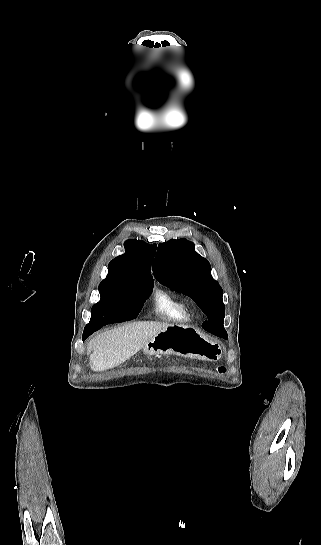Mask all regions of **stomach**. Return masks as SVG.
<instances>
[{"label": "stomach", "instance_id": "1", "mask_svg": "<svg viewBox=\"0 0 321 545\" xmlns=\"http://www.w3.org/2000/svg\"><path fill=\"white\" fill-rule=\"evenodd\" d=\"M144 355H179L195 357L204 361L221 359L220 343L206 339L200 331L190 325H170L157 333L145 347Z\"/></svg>", "mask_w": 321, "mask_h": 545}]
</instances>
